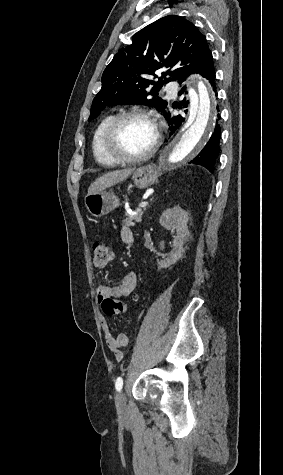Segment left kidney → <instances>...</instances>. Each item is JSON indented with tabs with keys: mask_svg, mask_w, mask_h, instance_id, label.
Masks as SVG:
<instances>
[{
	"mask_svg": "<svg viewBox=\"0 0 283 475\" xmlns=\"http://www.w3.org/2000/svg\"><path fill=\"white\" fill-rule=\"evenodd\" d=\"M189 214L179 208V206H174V208H168L163 212L160 218V224L166 230H171V232H176L173 236V243L171 245L172 249L168 253L167 257L157 261L158 267H169L172 263H176L184 253V243L191 239L190 232L188 230Z\"/></svg>",
	"mask_w": 283,
	"mask_h": 475,
	"instance_id": "obj_1",
	"label": "left kidney"
}]
</instances>
